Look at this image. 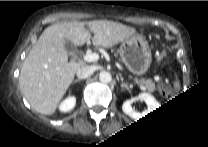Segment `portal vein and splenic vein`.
<instances>
[{"label": "portal vein and splenic vein", "instance_id": "portal-vein-and-splenic-vein-1", "mask_svg": "<svg viewBox=\"0 0 208 147\" xmlns=\"http://www.w3.org/2000/svg\"><path fill=\"white\" fill-rule=\"evenodd\" d=\"M82 59L86 62H95L98 59V56L93 53H86L82 56Z\"/></svg>", "mask_w": 208, "mask_h": 147}]
</instances>
